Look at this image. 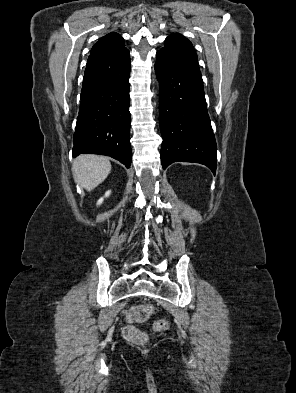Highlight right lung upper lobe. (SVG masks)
Listing matches in <instances>:
<instances>
[{"label": "right lung upper lobe", "instance_id": "obj_1", "mask_svg": "<svg viewBox=\"0 0 296 393\" xmlns=\"http://www.w3.org/2000/svg\"><path fill=\"white\" fill-rule=\"evenodd\" d=\"M126 49L127 48L124 45V39L119 34L113 32L100 38L99 41L92 47L90 55Z\"/></svg>", "mask_w": 296, "mask_h": 393}]
</instances>
